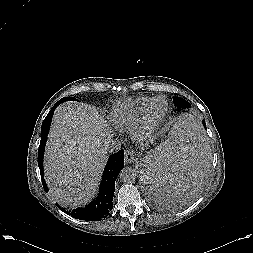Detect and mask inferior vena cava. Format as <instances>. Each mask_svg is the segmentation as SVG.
Returning a JSON list of instances; mask_svg holds the SVG:
<instances>
[{"label": "inferior vena cava", "mask_w": 253, "mask_h": 253, "mask_svg": "<svg viewBox=\"0 0 253 253\" xmlns=\"http://www.w3.org/2000/svg\"><path fill=\"white\" fill-rule=\"evenodd\" d=\"M120 148H121V142L115 141L113 139L109 140L105 145V149L109 153L117 152Z\"/></svg>", "instance_id": "obj_1"}]
</instances>
